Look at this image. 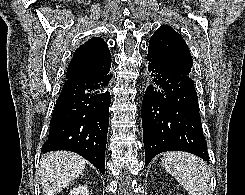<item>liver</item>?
Listing matches in <instances>:
<instances>
[{
    "label": "liver",
    "instance_id": "6515ba94",
    "mask_svg": "<svg viewBox=\"0 0 245 195\" xmlns=\"http://www.w3.org/2000/svg\"><path fill=\"white\" fill-rule=\"evenodd\" d=\"M85 169V160L69 151L49 152L40 160L44 195H55L66 188Z\"/></svg>",
    "mask_w": 245,
    "mask_h": 195
}]
</instances>
